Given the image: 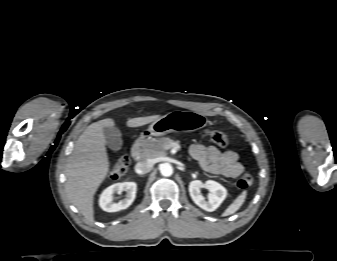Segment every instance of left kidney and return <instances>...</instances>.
Returning a JSON list of instances; mask_svg holds the SVG:
<instances>
[{"mask_svg":"<svg viewBox=\"0 0 337 261\" xmlns=\"http://www.w3.org/2000/svg\"><path fill=\"white\" fill-rule=\"evenodd\" d=\"M201 188H206L210 191L207 200L201 194ZM189 193L194 203L208 212L215 211L227 196V190L213 180H207L205 183L200 180L191 181Z\"/></svg>","mask_w":337,"mask_h":261,"instance_id":"1","label":"left kidney"}]
</instances>
